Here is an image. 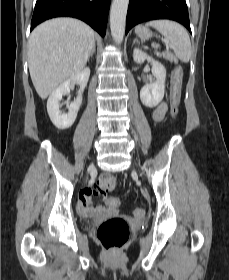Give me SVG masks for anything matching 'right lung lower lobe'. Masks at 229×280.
<instances>
[{"label":"right lung lower lobe","instance_id":"obj_1","mask_svg":"<svg viewBox=\"0 0 229 280\" xmlns=\"http://www.w3.org/2000/svg\"><path fill=\"white\" fill-rule=\"evenodd\" d=\"M110 1L37 0L30 30L47 19L69 16L83 20L104 37Z\"/></svg>","mask_w":229,"mask_h":280}]
</instances>
